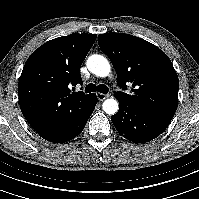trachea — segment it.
I'll list each match as a JSON object with an SVG mask.
<instances>
[{"mask_svg": "<svg viewBox=\"0 0 199 199\" xmlns=\"http://www.w3.org/2000/svg\"><path fill=\"white\" fill-rule=\"evenodd\" d=\"M96 91L103 93V94H107L109 89L104 84H99L96 86L95 84L90 83L85 87L86 93H91V92H96Z\"/></svg>", "mask_w": 199, "mask_h": 199, "instance_id": "1", "label": "trachea"}]
</instances>
